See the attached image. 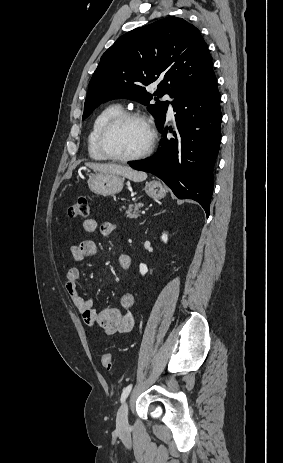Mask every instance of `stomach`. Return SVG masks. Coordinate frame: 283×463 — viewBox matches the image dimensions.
Wrapping results in <instances>:
<instances>
[{"label":"stomach","mask_w":283,"mask_h":463,"mask_svg":"<svg viewBox=\"0 0 283 463\" xmlns=\"http://www.w3.org/2000/svg\"><path fill=\"white\" fill-rule=\"evenodd\" d=\"M88 186L96 194L113 196L123 189L124 177L115 174L96 173L88 180ZM144 190L153 199H161L166 195L165 187L157 180L146 182Z\"/></svg>","instance_id":"0dacf381"}]
</instances>
